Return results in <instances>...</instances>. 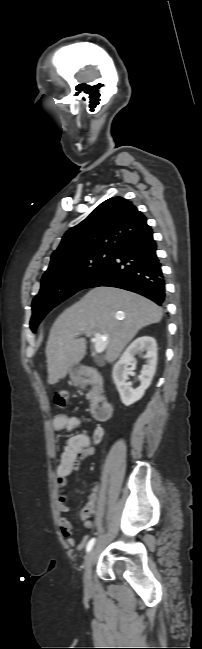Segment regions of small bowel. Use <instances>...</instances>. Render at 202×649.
Returning a JSON list of instances; mask_svg holds the SVG:
<instances>
[{"label":"small bowel","instance_id":"c3829d8e","mask_svg":"<svg viewBox=\"0 0 202 649\" xmlns=\"http://www.w3.org/2000/svg\"><path fill=\"white\" fill-rule=\"evenodd\" d=\"M80 422V418L76 416L58 414L54 417L52 425L57 431H71L78 428ZM103 434L104 431L102 427L97 425L91 435L86 433H77L70 436L66 440L63 453L60 456L56 468L58 503L59 509L63 513V517L59 521V528L62 535L67 538L68 544L75 547L78 551H82L85 548L88 536L85 535L79 543H77L74 537L73 526L67 518V514L70 511V506L67 500V481L68 477L78 469L80 462L94 453L93 444L99 442L102 439ZM98 490L99 484L95 483L91 493L88 495L87 504L80 512L81 519L84 521L87 529L93 527L91 517L94 514L95 504L98 499Z\"/></svg>","mask_w":202,"mask_h":649}]
</instances>
